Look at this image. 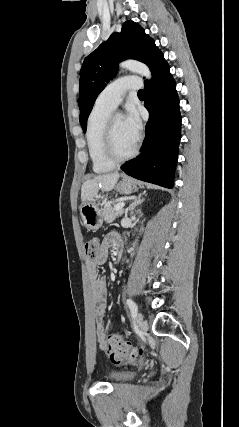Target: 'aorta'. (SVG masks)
<instances>
[{
	"label": "aorta",
	"mask_w": 239,
	"mask_h": 427,
	"mask_svg": "<svg viewBox=\"0 0 239 427\" xmlns=\"http://www.w3.org/2000/svg\"><path fill=\"white\" fill-rule=\"evenodd\" d=\"M120 67L122 69L129 70L131 72L140 74L144 76L146 79H151V72L147 65L135 60H126L120 63Z\"/></svg>",
	"instance_id": "762f6f07"
}]
</instances>
